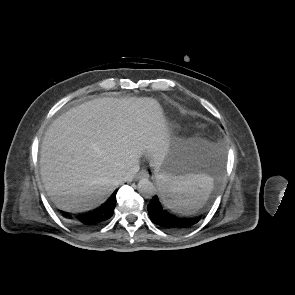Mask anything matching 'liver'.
Returning a JSON list of instances; mask_svg holds the SVG:
<instances>
[{"mask_svg":"<svg viewBox=\"0 0 295 295\" xmlns=\"http://www.w3.org/2000/svg\"><path fill=\"white\" fill-rule=\"evenodd\" d=\"M171 148L157 100H91L68 110L48 128L41 146L42 182L59 208L88 211L107 200L144 153L157 168Z\"/></svg>","mask_w":295,"mask_h":295,"instance_id":"liver-1","label":"liver"}]
</instances>
